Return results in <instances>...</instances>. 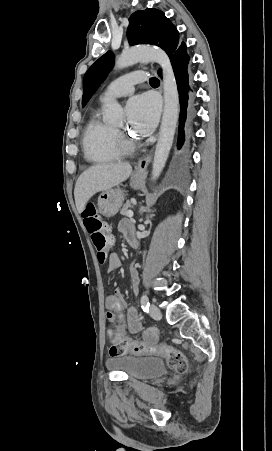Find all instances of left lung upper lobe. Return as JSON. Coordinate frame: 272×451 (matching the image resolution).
<instances>
[{"label": "left lung upper lobe", "mask_w": 272, "mask_h": 451, "mask_svg": "<svg viewBox=\"0 0 272 451\" xmlns=\"http://www.w3.org/2000/svg\"><path fill=\"white\" fill-rule=\"evenodd\" d=\"M130 45L151 44L161 47L172 57L179 44V32L165 14L153 8L134 12L127 29ZM114 65V55L108 51L85 73L82 106L84 107Z\"/></svg>", "instance_id": "left-lung-upper-lobe-1"}]
</instances>
